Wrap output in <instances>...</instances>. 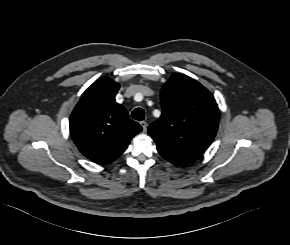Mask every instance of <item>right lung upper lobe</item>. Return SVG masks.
<instances>
[{
  "label": "right lung upper lobe",
  "instance_id": "obj_1",
  "mask_svg": "<svg viewBox=\"0 0 290 245\" xmlns=\"http://www.w3.org/2000/svg\"><path fill=\"white\" fill-rule=\"evenodd\" d=\"M119 84L107 77L95 81L70 116L73 141L88 159L107 164L117 159L142 127L115 101Z\"/></svg>",
  "mask_w": 290,
  "mask_h": 245
}]
</instances>
